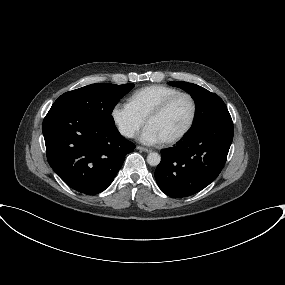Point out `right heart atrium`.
Returning <instances> with one entry per match:
<instances>
[{
	"mask_svg": "<svg viewBox=\"0 0 285 285\" xmlns=\"http://www.w3.org/2000/svg\"><path fill=\"white\" fill-rule=\"evenodd\" d=\"M111 117L119 133L126 138H133L145 123V119L129 102L115 103L111 110Z\"/></svg>",
	"mask_w": 285,
	"mask_h": 285,
	"instance_id": "1",
	"label": "right heart atrium"
}]
</instances>
